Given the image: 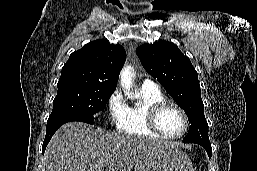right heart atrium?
Segmentation results:
<instances>
[{
    "mask_svg": "<svg viewBox=\"0 0 257 171\" xmlns=\"http://www.w3.org/2000/svg\"><path fill=\"white\" fill-rule=\"evenodd\" d=\"M126 108L127 105L120 91L115 90L107 100V110L111 123L118 129L125 118Z\"/></svg>",
    "mask_w": 257,
    "mask_h": 171,
    "instance_id": "1",
    "label": "right heart atrium"
}]
</instances>
